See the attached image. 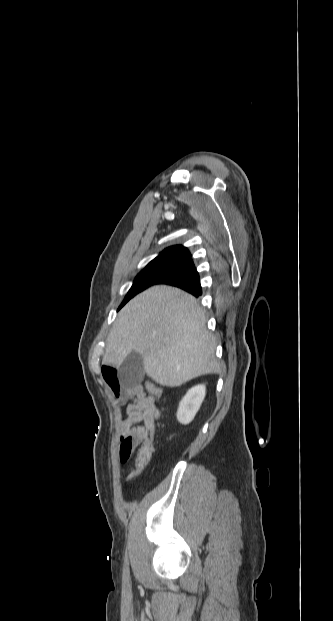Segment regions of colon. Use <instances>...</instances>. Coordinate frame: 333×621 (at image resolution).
<instances>
[{
  "label": "colon",
  "mask_w": 333,
  "mask_h": 621,
  "mask_svg": "<svg viewBox=\"0 0 333 621\" xmlns=\"http://www.w3.org/2000/svg\"><path fill=\"white\" fill-rule=\"evenodd\" d=\"M149 388L151 394L158 400L162 396V389L156 383L150 382ZM152 437L153 434L149 435L146 438H143L138 444L139 447L136 453L135 465L134 469L129 475V480L135 479L138 475H140L144 469L149 464L152 454H153V445H152Z\"/></svg>",
  "instance_id": "obj_1"
}]
</instances>
